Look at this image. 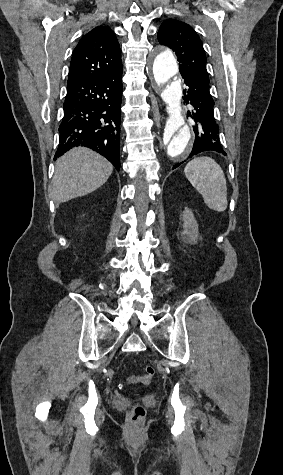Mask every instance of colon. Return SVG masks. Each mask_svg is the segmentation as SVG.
<instances>
[{"label": "colon", "mask_w": 283, "mask_h": 475, "mask_svg": "<svg viewBox=\"0 0 283 475\" xmlns=\"http://www.w3.org/2000/svg\"><path fill=\"white\" fill-rule=\"evenodd\" d=\"M155 375V367L152 365H147L145 367V377L146 378H151ZM146 415V410L144 406L141 403H135L133 406V409L131 410L129 414V419L132 422H138L142 419H144Z\"/></svg>", "instance_id": "obj_1"}]
</instances>
